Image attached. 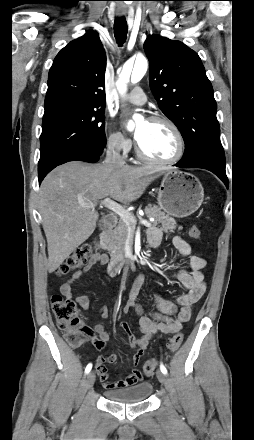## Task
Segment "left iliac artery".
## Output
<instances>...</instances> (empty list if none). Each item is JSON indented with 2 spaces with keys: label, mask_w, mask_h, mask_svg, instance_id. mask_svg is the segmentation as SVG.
I'll return each mask as SVG.
<instances>
[{
  "label": "left iliac artery",
  "mask_w": 254,
  "mask_h": 440,
  "mask_svg": "<svg viewBox=\"0 0 254 440\" xmlns=\"http://www.w3.org/2000/svg\"><path fill=\"white\" fill-rule=\"evenodd\" d=\"M160 370H161V372L163 373V374H167V369H166V367L161 363V365H160Z\"/></svg>",
  "instance_id": "obj_1"
}]
</instances>
